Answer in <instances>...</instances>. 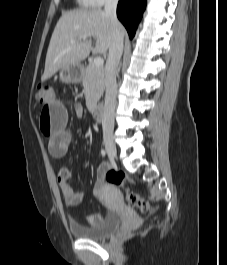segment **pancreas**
Masks as SVG:
<instances>
[{
    "mask_svg": "<svg viewBox=\"0 0 227 265\" xmlns=\"http://www.w3.org/2000/svg\"><path fill=\"white\" fill-rule=\"evenodd\" d=\"M86 102L89 106H94L103 95L105 79L103 67H96L94 63H90L85 71L82 79Z\"/></svg>",
    "mask_w": 227,
    "mask_h": 265,
    "instance_id": "obj_1",
    "label": "pancreas"
}]
</instances>
